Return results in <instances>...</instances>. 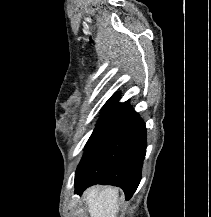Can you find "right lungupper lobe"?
<instances>
[{"label":"right lung upper lobe","mask_w":211,"mask_h":217,"mask_svg":"<svg viewBox=\"0 0 211 217\" xmlns=\"http://www.w3.org/2000/svg\"><path fill=\"white\" fill-rule=\"evenodd\" d=\"M129 109H131V106L128 102L119 103L118 95H113L112 98L104 105L100 118L115 120L126 113Z\"/></svg>","instance_id":"right-lung-upper-lobe-1"}]
</instances>
